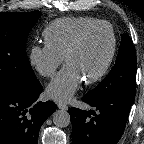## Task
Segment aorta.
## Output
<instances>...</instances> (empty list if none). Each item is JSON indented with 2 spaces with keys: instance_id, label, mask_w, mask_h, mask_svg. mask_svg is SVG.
<instances>
[{
  "instance_id": "obj_1",
  "label": "aorta",
  "mask_w": 144,
  "mask_h": 144,
  "mask_svg": "<svg viewBox=\"0 0 144 144\" xmlns=\"http://www.w3.org/2000/svg\"><path fill=\"white\" fill-rule=\"evenodd\" d=\"M70 120V114L65 110H57L53 114V123L57 127H67L70 124Z\"/></svg>"
}]
</instances>
